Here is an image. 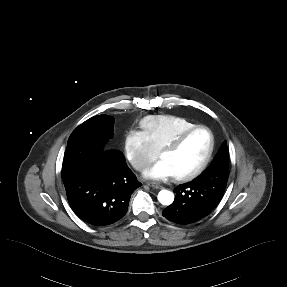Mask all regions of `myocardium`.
Instances as JSON below:
<instances>
[{
  "label": "myocardium",
  "instance_id": "myocardium-1",
  "mask_svg": "<svg viewBox=\"0 0 287 287\" xmlns=\"http://www.w3.org/2000/svg\"><path fill=\"white\" fill-rule=\"evenodd\" d=\"M198 130H205L209 135L210 145H209L208 152H207L204 160L202 161V163L196 169H194L193 171H191L187 174H184V175L174 176L173 179L175 181H178V182L190 181V180L197 178L200 174H202L205 171V169L208 167L209 163L211 162V159L213 157V153L215 150L214 134H213L212 130L205 125H195L189 129L183 131L182 133H180L177 137H175L173 140H171L168 144H166L160 150L159 157L161 158V156L164 153L173 152V151L179 149L182 146V144L187 140V138Z\"/></svg>",
  "mask_w": 287,
  "mask_h": 287
}]
</instances>
